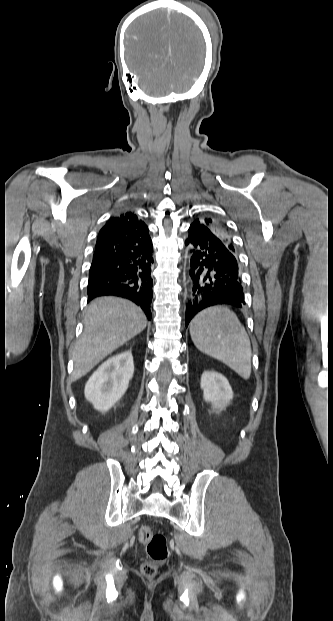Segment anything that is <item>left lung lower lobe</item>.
I'll use <instances>...</instances> for the list:
<instances>
[{
  "mask_svg": "<svg viewBox=\"0 0 333 621\" xmlns=\"http://www.w3.org/2000/svg\"><path fill=\"white\" fill-rule=\"evenodd\" d=\"M190 246L193 297L186 308V326L202 309L214 305H232L241 308L244 293L236 254L226 247L207 227L191 224Z\"/></svg>",
  "mask_w": 333,
  "mask_h": 621,
  "instance_id": "0a47b994",
  "label": "left lung lower lobe"
}]
</instances>
